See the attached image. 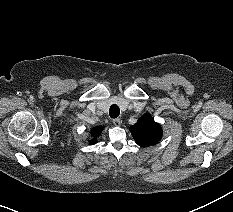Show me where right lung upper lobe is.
I'll use <instances>...</instances> for the list:
<instances>
[{
    "label": "right lung upper lobe",
    "mask_w": 233,
    "mask_h": 212,
    "mask_svg": "<svg viewBox=\"0 0 233 212\" xmlns=\"http://www.w3.org/2000/svg\"><path fill=\"white\" fill-rule=\"evenodd\" d=\"M102 130H103V127H102V126H98V127L92 128V130H91V132H90V133H91V136L94 137V138L100 136L101 133H102ZM90 143H91V144H95V143H96V140L92 139V140H90Z\"/></svg>",
    "instance_id": "obj_1"
}]
</instances>
